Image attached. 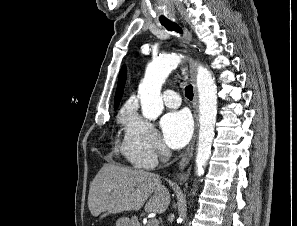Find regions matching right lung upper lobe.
<instances>
[{
    "instance_id": "obj_1",
    "label": "right lung upper lobe",
    "mask_w": 297,
    "mask_h": 226,
    "mask_svg": "<svg viewBox=\"0 0 297 226\" xmlns=\"http://www.w3.org/2000/svg\"><path fill=\"white\" fill-rule=\"evenodd\" d=\"M126 81V67L125 65L121 68L119 73V79H118V86L115 94L114 99V107H118L119 102L121 100L122 94H123V88Z\"/></svg>"
}]
</instances>
